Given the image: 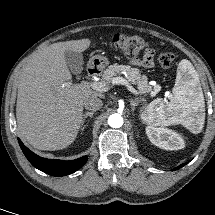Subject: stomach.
<instances>
[{"label": "stomach", "instance_id": "0dacf381", "mask_svg": "<svg viewBox=\"0 0 215 215\" xmlns=\"http://www.w3.org/2000/svg\"><path fill=\"white\" fill-rule=\"evenodd\" d=\"M89 64L98 70H102L109 64V60L105 56L95 55L90 59ZM144 122H146V121H144ZM146 123H148V122H146Z\"/></svg>", "mask_w": 215, "mask_h": 215}]
</instances>
